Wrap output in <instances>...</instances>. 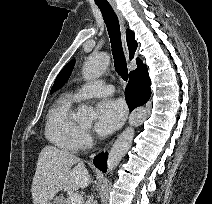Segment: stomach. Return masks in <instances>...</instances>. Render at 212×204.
Segmentation results:
<instances>
[{
	"label": "stomach",
	"instance_id": "stomach-1",
	"mask_svg": "<svg viewBox=\"0 0 212 204\" xmlns=\"http://www.w3.org/2000/svg\"><path fill=\"white\" fill-rule=\"evenodd\" d=\"M46 204H61V202L58 199H52L49 200Z\"/></svg>",
	"mask_w": 212,
	"mask_h": 204
}]
</instances>
